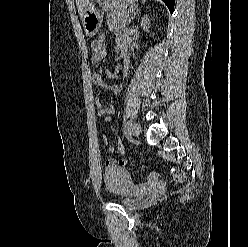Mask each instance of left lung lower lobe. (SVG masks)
Here are the masks:
<instances>
[{"mask_svg": "<svg viewBox=\"0 0 248 247\" xmlns=\"http://www.w3.org/2000/svg\"><path fill=\"white\" fill-rule=\"evenodd\" d=\"M168 7L169 11L173 13L175 0H162Z\"/></svg>", "mask_w": 248, "mask_h": 247, "instance_id": "1", "label": "left lung lower lobe"}]
</instances>
